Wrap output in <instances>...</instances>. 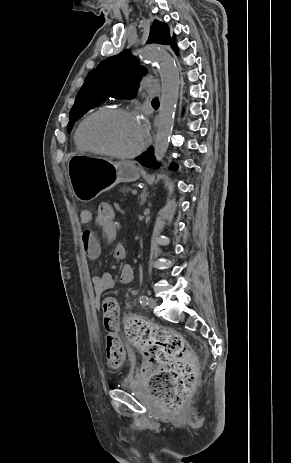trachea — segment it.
<instances>
[{"mask_svg": "<svg viewBox=\"0 0 291 463\" xmlns=\"http://www.w3.org/2000/svg\"><path fill=\"white\" fill-rule=\"evenodd\" d=\"M152 101H159L158 98L153 99Z\"/></svg>", "mask_w": 291, "mask_h": 463, "instance_id": "1", "label": "trachea"}]
</instances>
